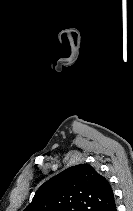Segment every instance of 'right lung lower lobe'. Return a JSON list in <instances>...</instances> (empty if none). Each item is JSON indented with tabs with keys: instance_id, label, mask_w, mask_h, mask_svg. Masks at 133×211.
Wrapping results in <instances>:
<instances>
[{
	"instance_id": "98d812e1",
	"label": "right lung lower lobe",
	"mask_w": 133,
	"mask_h": 211,
	"mask_svg": "<svg viewBox=\"0 0 133 211\" xmlns=\"http://www.w3.org/2000/svg\"><path fill=\"white\" fill-rule=\"evenodd\" d=\"M111 211H116V206L113 209H111Z\"/></svg>"
}]
</instances>
